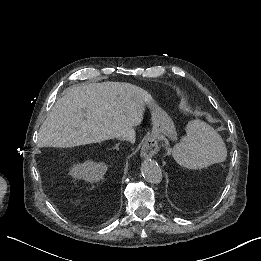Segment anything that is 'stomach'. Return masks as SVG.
Wrapping results in <instances>:
<instances>
[{"instance_id":"obj_1","label":"stomach","mask_w":261,"mask_h":261,"mask_svg":"<svg viewBox=\"0 0 261 261\" xmlns=\"http://www.w3.org/2000/svg\"><path fill=\"white\" fill-rule=\"evenodd\" d=\"M152 112L153 133L157 136L176 137V129L170 116L152 99L147 103Z\"/></svg>"}]
</instances>
